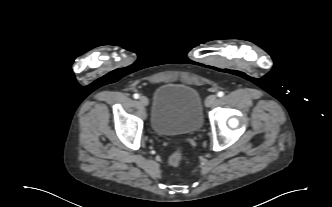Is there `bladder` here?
<instances>
[{"label":"bladder","mask_w":332,"mask_h":207,"mask_svg":"<svg viewBox=\"0 0 332 207\" xmlns=\"http://www.w3.org/2000/svg\"><path fill=\"white\" fill-rule=\"evenodd\" d=\"M202 123V99L194 87L165 83L155 90L151 125L156 133L162 136L194 134Z\"/></svg>","instance_id":"31cf9c89"}]
</instances>
